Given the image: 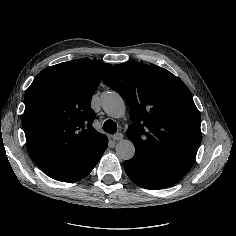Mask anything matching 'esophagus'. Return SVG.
I'll use <instances>...</instances> for the list:
<instances>
[{"label": "esophagus", "mask_w": 236, "mask_h": 236, "mask_svg": "<svg viewBox=\"0 0 236 236\" xmlns=\"http://www.w3.org/2000/svg\"><path fill=\"white\" fill-rule=\"evenodd\" d=\"M123 138V134L122 133H117L116 135L113 136V140L114 141H119Z\"/></svg>", "instance_id": "obj_1"}]
</instances>
